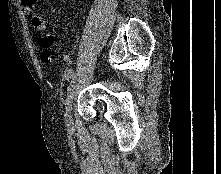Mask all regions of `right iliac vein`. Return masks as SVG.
<instances>
[{"instance_id":"63e3f726","label":"right iliac vein","mask_w":221,"mask_h":174,"mask_svg":"<svg viewBox=\"0 0 221 174\" xmlns=\"http://www.w3.org/2000/svg\"><path fill=\"white\" fill-rule=\"evenodd\" d=\"M77 83H78V74H75L69 83L67 90V97L65 101V121L69 126L72 124L71 111H72V105H73Z\"/></svg>"}]
</instances>
